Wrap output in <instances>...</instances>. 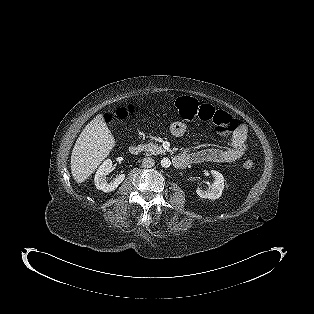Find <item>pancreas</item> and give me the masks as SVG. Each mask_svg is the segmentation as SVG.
Returning a JSON list of instances; mask_svg holds the SVG:
<instances>
[{"label":"pancreas","mask_w":314,"mask_h":314,"mask_svg":"<svg viewBox=\"0 0 314 314\" xmlns=\"http://www.w3.org/2000/svg\"><path fill=\"white\" fill-rule=\"evenodd\" d=\"M143 149L146 155H158L166 152L164 148L153 142L143 145Z\"/></svg>","instance_id":"cf45deb5"}]
</instances>
